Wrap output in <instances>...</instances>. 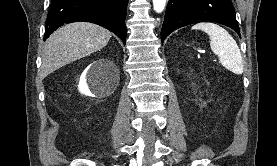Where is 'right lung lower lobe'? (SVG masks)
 Masks as SVG:
<instances>
[{"label": "right lung lower lobe", "instance_id": "right-lung-lower-lobe-1", "mask_svg": "<svg viewBox=\"0 0 277 166\" xmlns=\"http://www.w3.org/2000/svg\"><path fill=\"white\" fill-rule=\"evenodd\" d=\"M127 5L128 0H51L44 40L64 23L82 21L107 28L125 44Z\"/></svg>", "mask_w": 277, "mask_h": 166}]
</instances>
